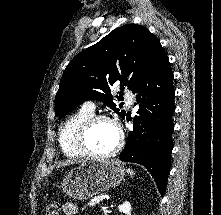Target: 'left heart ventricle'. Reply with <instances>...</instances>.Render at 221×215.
Returning <instances> with one entry per match:
<instances>
[{
  "label": "left heart ventricle",
  "instance_id": "b2bd125f",
  "mask_svg": "<svg viewBox=\"0 0 221 215\" xmlns=\"http://www.w3.org/2000/svg\"><path fill=\"white\" fill-rule=\"evenodd\" d=\"M118 135L115 127L106 121L96 123L87 137L89 148L96 153H105L117 143Z\"/></svg>",
  "mask_w": 221,
  "mask_h": 215
}]
</instances>
